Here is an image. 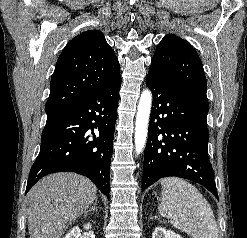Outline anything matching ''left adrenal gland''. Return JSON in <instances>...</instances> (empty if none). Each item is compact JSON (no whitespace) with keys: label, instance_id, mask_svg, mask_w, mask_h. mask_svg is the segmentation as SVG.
<instances>
[{"label":"left adrenal gland","instance_id":"1","mask_svg":"<svg viewBox=\"0 0 247 238\" xmlns=\"http://www.w3.org/2000/svg\"><path fill=\"white\" fill-rule=\"evenodd\" d=\"M154 218L158 220V216H155Z\"/></svg>","mask_w":247,"mask_h":238}]
</instances>
